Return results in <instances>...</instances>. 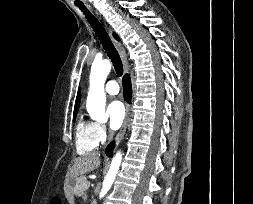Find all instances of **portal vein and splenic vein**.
<instances>
[{
  "instance_id": "portal-vein-and-splenic-vein-1",
  "label": "portal vein and splenic vein",
  "mask_w": 253,
  "mask_h": 204,
  "mask_svg": "<svg viewBox=\"0 0 253 204\" xmlns=\"http://www.w3.org/2000/svg\"><path fill=\"white\" fill-rule=\"evenodd\" d=\"M84 186H85V188H88L90 186V182L87 181Z\"/></svg>"
}]
</instances>
